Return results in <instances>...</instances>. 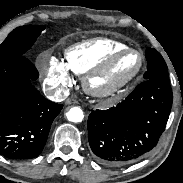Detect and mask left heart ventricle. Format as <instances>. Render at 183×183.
Returning <instances> with one entry per match:
<instances>
[{"instance_id":"left-heart-ventricle-1","label":"left heart ventricle","mask_w":183,"mask_h":183,"mask_svg":"<svg viewBox=\"0 0 183 183\" xmlns=\"http://www.w3.org/2000/svg\"><path fill=\"white\" fill-rule=\"evenodd\" d=\"M140 59L135 53L121 55L113 66L104 74L96 78L94 86L99 89L108 88L127 80L139 67Z\"/></svg>"}]
</instances>
